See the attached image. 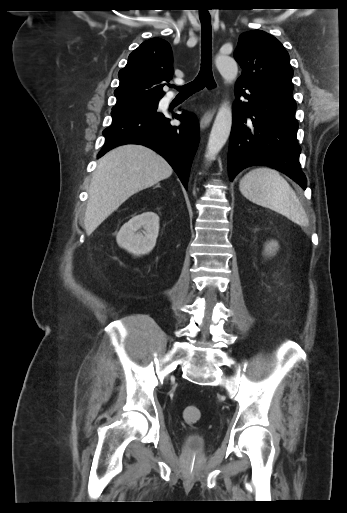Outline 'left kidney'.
Masks as SVG:
<instances>
[{
  "instance_id": "1",
  "label": "left kidney",
  "mask_w": 347,
  "mask_h": 513,
  "mask_svg": "<svg viewBox=\"0 0 347 513\" xmlns=\"http://www.w3.org/2000/svg\"><path fill=\"white\" fill-rule=\"evenodd\" d=\"M278 249L277 241H270L265 245V253L266 255L273 254Z\"/></svg>"
}]
</instances>
